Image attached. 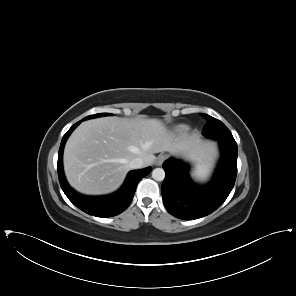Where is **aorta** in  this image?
Here are the masks:
<instances>
[{
    "instance_id": "1",
    "label": "aorta",
    "mask_w": 296,
    "mask_h": 296,
    "mask_svg": "<svg viewBox=\"0 0 296 296\" xmlns=\"http://www.w3.org/2000/svg\"><path fill=\"white\" fill-rule=\"evenodd\" d=\"M152 178L156 181H163L165 178V171L162 168H155L152 171Z\"/></svg>"
}]
</instances>
